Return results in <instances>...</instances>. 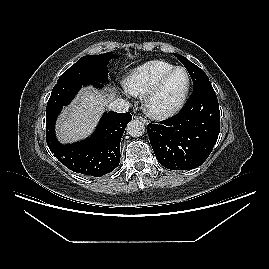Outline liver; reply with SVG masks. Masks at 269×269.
Wrapping results in <instances>:
<instances>
[{
  "label": "liver",
  "instance_id": "liver-1",
  "mask_svg": "<svg viewBox=\"0 0 269 269\" xmlns=\"http://www.w3.org/2000/svg\"><path fill=\"white\" fill-rule=\"evenodd\" d=\"M115 91L100 93L84 88L66 109L57 124V135L61 142L75 141L89 135L99 119V114L111 102Z\"/></svg>",
  "mask_w": 269,
  "mask_h": 269
}]
</instances>
